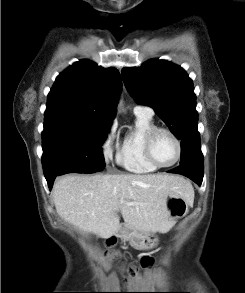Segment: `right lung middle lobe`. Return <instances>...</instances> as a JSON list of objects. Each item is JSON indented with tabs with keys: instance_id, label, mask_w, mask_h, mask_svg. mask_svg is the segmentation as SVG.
Masks as SVG:
<instances>
[{
	"instance_id": "right-lung-middle-lobe-1",
	"label": "right lung middle lobe",
	"mask_w": 245,
	"mask_h": 293,
	"mask_svg": "<svg viewBox=\"0 0 245 293\" xmlns=\"http://www.w3.org/2000/svg\"><path fill=\"white\" fill-rule=\"evenodd\" d=\"M109 126L75 118H44L42 165L45 178L70 170H103L101 144Z\"/></svg>"
}]
</instances>
